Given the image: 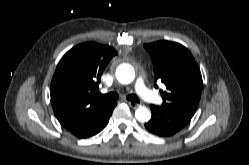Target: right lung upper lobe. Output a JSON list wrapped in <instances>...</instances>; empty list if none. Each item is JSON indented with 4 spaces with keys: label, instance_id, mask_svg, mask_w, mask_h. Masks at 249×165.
Masks as SVG:
<instances>
[{
    "label": "right lung upper lobe",
    "instance_id": "1",
    "mask_svg": "<svg viewBox=\"0 0 249 165\" xmlns=\"http://www.w3.org/2000/svg\"><path fill=\"white\" fill-rule=\"evenodd\" d=\"M116 54L113 47L86 42L59 61L50 94L54 114L64 128L70 130L92 120L112 103L96 93L106 65Z\"/></svg>",
    "mask_w": 249,
    "mask_h": 165
}]
</instances>
